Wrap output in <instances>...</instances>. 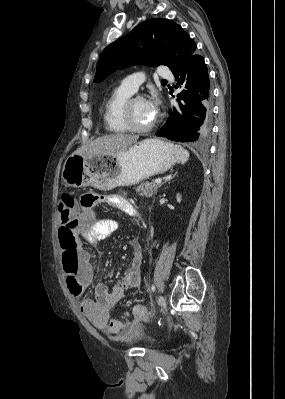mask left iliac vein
<instances>
[{"label": "left iliac vein", "instance_id": "obj_1", "mask_svg": "<svg viewBox=\"0 0 285 399\" xmlns=\"http://www.w3.org/2000/svg\"><path fill=\"white\" fill-rule=\"evenodd\" d=\"M165 305H166V300H165L164 296L161 295V296L158 298V306H159V307H164Z\"/></svg>", "mask_w": 285, "mask_h": 399}]
</instances>
